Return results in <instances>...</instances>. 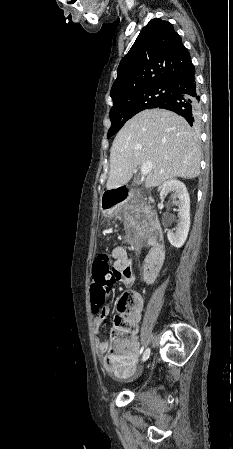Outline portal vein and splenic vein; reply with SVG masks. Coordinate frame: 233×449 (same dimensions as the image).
Masks as SVG:
<instances>
[{"label": "portal vein and splenic vein", "instance_id": "1", "mask_svg": "<svg viewBox=\"0 0 233 449\" xmlns=\"http://www.w3.org/2000/svg\"><path fill=\"white\" fill-rule=\"evenodd\" d=\"M151 168H152V163L151 162L143 163V165L141 167V174L142 175H147L150 172Z\"/></svg>", "mask_w": 233, "mask_h": 449}]
</instances>
